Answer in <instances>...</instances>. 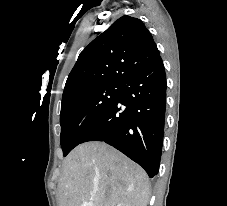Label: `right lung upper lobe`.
<instances>
[{"instance_id":"obj_1","label":"right lung upper lobe","mask_w":227,"mask_h":206,"mask_svg":"<svg viewBox=\"0 0 227 206\" xmlns=\"http://www.w3.org/2000/svg\"><path fill=\"white\" fill-rule=\"evenodd\" d=\"M158 58L159 50L144 23L122 16L80 53L66 81L62 100L97 85L122 83Z\"/></svg>"}]
</instances>
